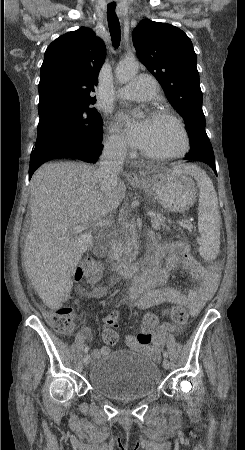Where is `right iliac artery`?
Returning a JSON list of instances; mask_svg holds the SVG:
<instances>
[{
    "label": "right iliac artery",
    "mask_w": 245,
    "mask_h": 450,
    "mask_svg": "<svg viewBox=\"0 0 245 450\" xmlns=\"http://www.w3.org/2000/svg\"><path fill=\"white\" fill-rule=\"evenodd\" d=\"M88 351H89V347H88V346H85L84 352L87 353Z\"/></svg>",
    "instance_id": "obj_1"
}]
</instances>
